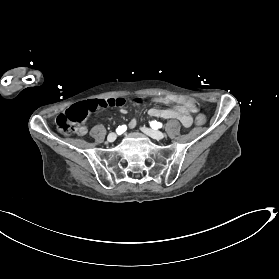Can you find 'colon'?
I'll list each match as a JSON object with an SVG mask.
<instances>
[{"label":"colon","mask_w":279,"mask_h":279,"mask_svg":"<svg viewBox=\"0 0 279 279\" xmlns=\"http://www.w3.org/2000/svg\"><path fill=\"white\" fill-rule=\"evenodd\" d=\"M177 99L191 112L199 110V102L188 96H179ZM126 100L122 97L94 99L80 102L69 107L65 112L56 118V125L59 131L65 134L80 133L87 116L100 107L123 106ZM197 125H204L206 117L204 114H198L195 118Z\"/></svg>","instance_id":"1"}]
</instances>
